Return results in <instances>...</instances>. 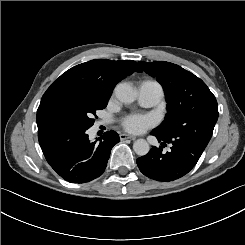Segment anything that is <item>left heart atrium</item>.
<instances>
[{
    "label": "left heart atrium",
    "mask_w": 245,
    "mask_h": 245,
    "mask_svg": "<svg viewBox=\"0 0 245 245\" xmlns=\"http://www.w3.org/2000/svg\"><path fill=\"white\" fill-rule=\"evenodd\" d=\"M151 123L152 121L149 117L140 114H134L126 117L124 119L123 125L129 132L141 133L144 132L151 125Z\"/></svg>",
    "instance_id": "39dd6f15"
}]
</instances>
